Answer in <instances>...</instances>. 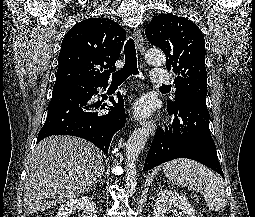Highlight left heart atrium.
Wrapping results in <instances>:
<instances>
[{
    "instance_id": "obj_1",
    "label": "left heart atrium",
    "mask_w": 255,
    "mask_h": 217,
    "mask_svg": "<svg viewBox=\"0 0 255 217\" xmlns=\"http://www.w3.org/2000/svg\"><path fill=\"white\" fill-rule=\"evenodd\" d=\"M133 111L136 117L144 118L151 114L152 105L148 100L142 99L135 104Z\"/></svg>"
}]
</instances>
